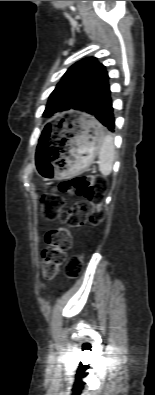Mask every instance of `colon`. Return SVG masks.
<instances>
[{"mask_svg":"<svg viewBox=\"0 0 155 395\" xmlns=\"http://www.w3.org/2000/svg\"><path fill=\"white\" fill-rule=\"evenodd\" d=\"M108 189L107 180L98 175H79L60 183L58 190L48 191L41 197V212L46 220H60L63 226L48 231L47 247L42 252V272L45 279L56 277L72 243V230L81 228L86 221L98 225L103 221L102 203ZM64 194L83 197L65 207ZM66 274L76 278L82 271V257L73 256L65 265Z\"/></svg>","mask_w":155,"mask_h":395,"instance_id":"colon-1","label":"colon"}]
</instances>
